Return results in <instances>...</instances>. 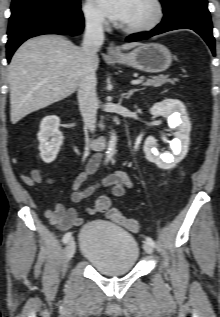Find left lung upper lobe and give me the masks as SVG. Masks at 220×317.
I'll return each mask as SVG.
<instances>
[{"mask_svg":"<svg viewBox=\"0 0 220 317\" xmlns=\"http://www.w3.org/2000/svg\"><path fill=\"white\" fill-rule=\"evenodd\" d=\"M163 8L164 9H168L170 7H172L178 0H160Z\"/></svg>","mask_w":220,"mask_h":317,"instance_id":"5c2ea615","label":"left lung upper lobe"}]
</instances>
